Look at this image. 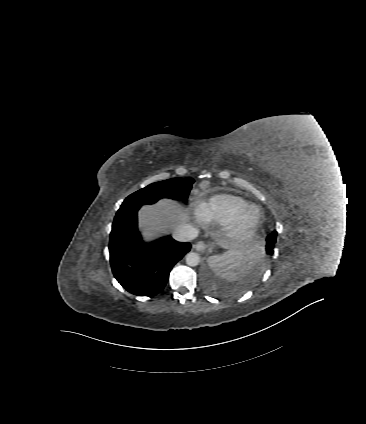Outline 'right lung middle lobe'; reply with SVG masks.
<instances>
[{"instance_id":"right-lung-middle-lobe-1","label":"right lung middle lobe","mask_w":366,"mask_h":424,"mask_svg":"<svg viewBox=\"0 0 366 424\" xmlns=\"http://www.w3.org/2000/svg\"><path fill=\"white\" fill-rule=\"evenodd\" d=\"M193 183L194 180L191 178H172L152 183L129 195L120 206V209L153 204L161 198H172L185 201Z\"/></svg>"}]
</instances>
